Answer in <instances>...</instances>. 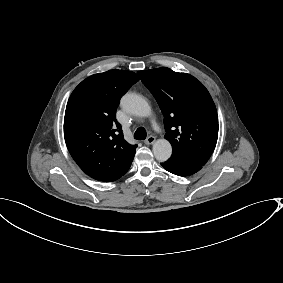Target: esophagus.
<instances>
[{"mask_svg": "<svg viewBox=\"0 0 283 283\" xmlns=\"http://www.w3.org/2000/svg\"><path fill=\"white\" fill-rule=\"evenodd\" d=\"M156 141V138L154 136H149L144 143L147 145L153 144Z\"/></svg>", "mask_w": 283, "mask_h": 283, "instance_id": "obj_1", "label": "esophagus"}]
</instances>
